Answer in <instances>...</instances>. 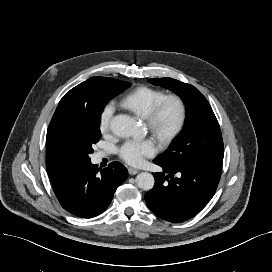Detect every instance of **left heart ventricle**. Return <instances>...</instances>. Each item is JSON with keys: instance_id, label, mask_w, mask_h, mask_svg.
<instances>
[{"instance_id": "left-heart-ventricle-1", "label": "left heart ventricle", "mask_w": 272, "mask_h": 272, "mask_svg": "<svg viewBox=\"0 0 272 272\" xmlns=\"http://www.w3.org/2000/svg\"><path fill=\"white\" fill-rule=\"evenodd\" d=\"M175 117V108L172 104H168L163 112L162 116V125L168 126Z\"/></svg>"}]
</instances>
